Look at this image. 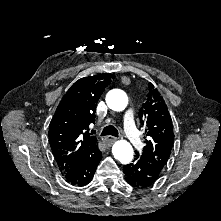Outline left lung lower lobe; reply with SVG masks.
<instances>
[{"mask_svg": "<svg viewBox=\"0 0 221 221\" xmlns=\"http://www.w3.org/2000/svg\"><path fill=\"white\" fill-rule=\"evenodd\" d=\"M123 172L125 173V179L133 187H147L160 177L162 171L136 155L133 163L123 167Z\"/></svg>", "mask_w": 221, "mask_h": 221, "instance_id": "left-lung-lower-lobe-1", "label": "left lung lower lobe"}]
</instances>
